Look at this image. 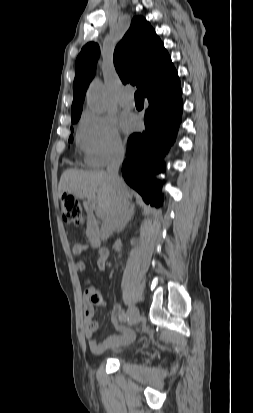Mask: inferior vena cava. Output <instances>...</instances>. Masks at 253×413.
Wrapping results in <instances>:
<instances>
[{"label": "inferior vena cava", "mask_w": 253, "mask_h": 413, "mask_svg": "<svg viewBox=\"0 0 253 413\" xmlns=\"http://www.w3.org/2000/svg\"><path fill=\"white\" fill-rule=\"evenodd\" d=\"M124 154V148H118L111 156L110 162L107 165V176L113 187L114 199L106 214L105 221L102 224L101 234L103 239H107L115 230L120 228L128 211V199L125 184L118 175Z\"/></svg>", "instance_id": "602c4592"}]
</instances>
